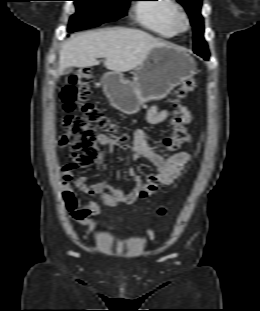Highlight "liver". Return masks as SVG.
Here are the masks:
<instances>
[{
	"mask_svg": "<svg viewBox=\"0 0 260 311\" xmlns=\"http://www.w3.org/2000/svg\"><path fill=\"white\" fill-rule=\"evenodd\" d=\"M168 45L150 34L131 28L96 30L80 33L63 43L58 61V75L69 67H90L105 58L107 69L126 72L140 66L149 52Z\"/></svg>",
	"mask_w": 260,
	"mask_h": 311,
	"instance_id": "obj_1",
	"label": "liver"
}]
</instances>
